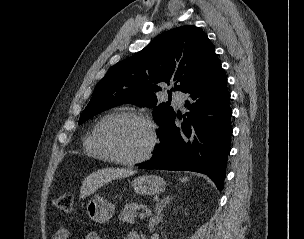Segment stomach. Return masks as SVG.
<instances>
[{"mask_svg":"<svg viewBox=\"0 0 304 239\" xmlns=\"http://www.w3.org/2000/svg\"><path fill=\"white\" fill-rule=\"evenodd\" d=\"M165 181L160 176L144 175L132 181V187L136 193L142 195H154L165 189ZM86 211L88 216L98 223L107 222L115 211V206L105 198L94 195L88 200Z\"/></svg>","mask_w":304,"mask_h":239,"instance_id":"1","label":"stomach"}]
</instances>
